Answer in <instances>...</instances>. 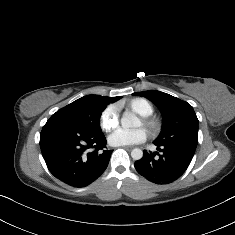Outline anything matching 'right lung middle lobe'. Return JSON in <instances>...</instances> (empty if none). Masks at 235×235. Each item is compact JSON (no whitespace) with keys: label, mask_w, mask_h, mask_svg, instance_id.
Returning a JSON list of instances; mask_svg holds the SVG:
<instances>
[{"label":"right lung middle lobe","mask_w":235,"mask_h":235,"mask_svg":"<svg viewBox=\"0 0 235 235\" xmlns=\"http://www.w3.org/2000/svg\"><path fill=\"white\" fill-rule=\"evenodd\" d=\"M102 111L91 110L80 99L59 109L50 119L62 120L91 132L102 133L100 116Z\"/></svg>","instance_id":"1"}]
</instances>
